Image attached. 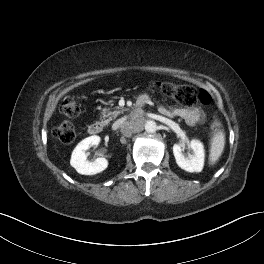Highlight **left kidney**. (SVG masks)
Returning <instances> with one entry per match:
<instances>
[{"instance_id": "left-kidney-1", "label": "left kidney", "mask_w": 264, "mask_h": 264, "mask_svg": "<svg viewBox=\"0 0 264 264\" xmlns=\"http://www.w3.org/2000/svg\"><path fill=\"white\" fill-rule=\"evenodd\" d=\"M188 146L193 150V155L185 157L183 154L185 144L173 145V154L176 163L185 171L200 172L203 169L205 158L203 144L199 140L193 139L188 142Z\"/></svg>"}]
</instances>
